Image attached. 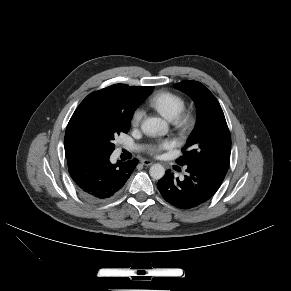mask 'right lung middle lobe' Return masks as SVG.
Here are the masks:
<instances>
[{
  "label": "right lung middle lobe",
  "mask_w": 291,
  "mask_h": 291,
  "mask_svg": "<svg viewBox=\"0 0 291 291\" xmlns=\"http://www.w3.org/2000/svg\"><path fill=\"white\" fill-rule=\"evenodd\" d=\"M131 118L80 104L66 128L65 149L75 153L80 151L112 153L115 148L114 138L122 132H128Z\"/></svg>",
  "instance_id": "dd1d6c3e"
}]
</instances>
